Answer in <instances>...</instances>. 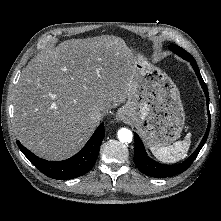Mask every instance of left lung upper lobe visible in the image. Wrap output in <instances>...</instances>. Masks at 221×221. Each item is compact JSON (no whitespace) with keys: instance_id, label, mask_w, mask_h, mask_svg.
Listing matches in <instances>:
<instances>
[{"instance_id":"obj_1","label":"left lung upper lobe","mask_w":221,"mask_h":221,"mask_svg":"<svg viewBox=\"0 0 221 221\" xmlns=\"http://www.w3.org/2000/svg\"><path fill=\"white\" fill-rule=\"evenodd\" d=\"M174 53H176L177 55L181 56L184 59H188L191 58L192 56L187 53L184 49H182L181 47L177 46V45H170L169 47Z\"/></svg>"}]
</instances>
